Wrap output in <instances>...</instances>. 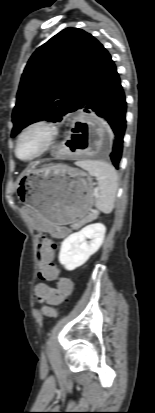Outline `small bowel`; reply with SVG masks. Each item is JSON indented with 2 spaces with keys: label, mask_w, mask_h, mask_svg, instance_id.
<instances>
[{
  "label": "small bowel",
  "mask_w": 155,
  "mask_h": 413,
  "mask_svg": "<svg viewBox=\"0 0 155 413\" xmlns=\"http://www.w3.org/2000/svg\"><path fill=\"white\" fill-rule=\"evenodd\" d=\"M19 212L23 214L25 218H30L29 226L35 227L36 231H50L55 237H64L68 233V230L61 227L59 222H49L48 218H42L40 214H36V211L31 205H21L19 207ZM56 278L57 277L49 281H53ZM52 290H55V288L45 283H40L35 287V295L42 300L45 299L48 293Z\"/></svg>",
  "instance_id": "1"
}]
</instances>
